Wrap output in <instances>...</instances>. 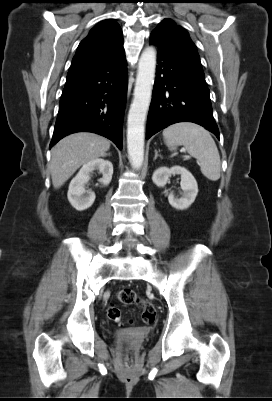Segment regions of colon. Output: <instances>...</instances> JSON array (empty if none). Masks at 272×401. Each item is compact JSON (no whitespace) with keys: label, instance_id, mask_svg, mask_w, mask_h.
Segmentation results:
<instances>
[{"label":"colon","instance_id":"1","mask_svg":"<svg viewBox=\"0 0 272 401\" xmlns=\"http://www.w3.org/2000/svg\"><path fill=\"white\" fill-rule=\"evenodd\" d=\"M118 299L125 305L139 306L142 309V322L144 324L150 325L154 323L156 319V310L154 306L147 300L140 298L134 290L129 288L120 290L118 292ZM108 316L112 321L117 323H120L122 320L120 310L114 306L109 307ZM125 361L127 366L131 365L132 358L130 352L127 353Z\"/></svg>","mask_w":272,"mask_h":401}]
</instances>
